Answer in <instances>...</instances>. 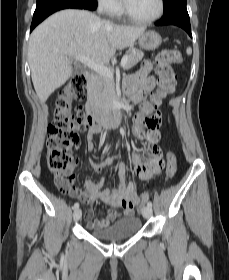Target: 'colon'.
Instances as JSON below:
<instances>
[{
    "label": "colon",
    "mask_w": 229,
    "mask_h": 280,
    "mask_svg": "<svg viewBox=\"0 0 229 280\" xmlns=\"http://www.w3.org/2000/svg\"><path fill=\"white\" fill-rule=\"evenodd\" d=\"M182 56L179 51L173 49L161 50L155 58L156 73L162 86L168 91L174 90L173 82L175 73L172 64L179 63ZM86 79L83 75H77L60 89L55 97L54 119L48 129L47 139V165L54 175V181L63 191H73L76 188L70 180L67 170L74 162L72 148L79 140V134L87 130L89 122L82 117L80 108L74 113L72 110L73 101H82L85 93ZM153 95L146 97L145 103L152 104ZM161 118L159 115L146 116L138 114L135 121V132L138 135L144 134L145 129L159 127ZM162 165V160L157 158L148 165V170L156 171ZM177 172L176 158L173 154L167 157L165 170L166 180L172 179ZM149 199V194L144 193L140 199H130L126 203L129 206L140 209Z\"/></svg>",
    "instance_id": "colon-1"
}]
</instances>
